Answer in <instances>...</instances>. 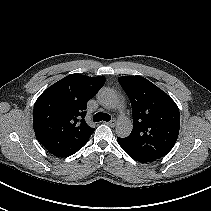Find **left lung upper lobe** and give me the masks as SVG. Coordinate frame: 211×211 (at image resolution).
Returning <instances> with one entry per match:
<instances>
[{"label":"left lung upper lobe","mask_w":211,"mask_h":211,"mask_svg":"<svg viewBox=\"0 0 211 211\" xmlns=\"http://www.w3.org/2000/svg\"><path fill=\"white\" fill-rule=\"evenodd\" d=\"M132 105L133 129L122 138L126 150L155 159L173 148L179 134L180 113L164 91L141 76L119 77Z\"/></svg>","instance_id":"5c2ea615"}]
</instances>
